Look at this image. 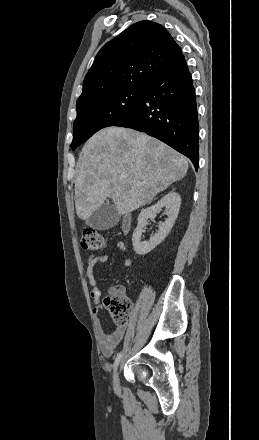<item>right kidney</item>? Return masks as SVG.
I'll return each instance as SVG.
<instances>
[{
	"label": "right kidney",
	"instance_id": "obj_1",
	"mask_svg": "<svg viewBox=\"0 0 259 440\" xmlns=\"http://www.w3.org/2000/svg\"><path fill=\"white\" fill-rule=\"evenodd\" d=\"M180 204L181 198L179 194L172 191L160 199L155 205L141 211L137 219V227L132 236L133 248L136 254L145 255L149 253L166 238L177 219ZM163 207L168 209L167 219L165 222L159 224V229L155 235L151 236L148 241L142 242L141 236L147 225V220L155 218L156 214L159 213Z\"/></svg>",
	"mask_w": 259,
	"mask_h": 440
}]
</instances>
